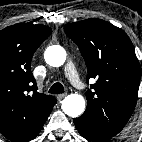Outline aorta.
Listing matches in <instances>:
<instances>
[{
    "instance_id": "1",
    "label": "aorta",
    "mask_w": 142,
    "mask_h": 142,
    "mask_svg": "<svg viewBox=\"0 0 142 142\" xmlns=\"http://www.w3.org/2000/svg\"><path fill=\"white\" fill-rule=\"evenodd\" d=\"M66 55L62 46L52 45L46 49L44 58L50 66L60 67L66 61ZM85 106V99L80 94H70L62 101L63 112L72 118L80 116L84 112Z\"/></svg>"
}]
</instances>
